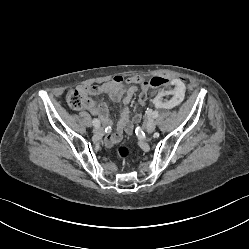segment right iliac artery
<instances>
[{"mask_svg": "<svg viewBox=\"0 0 249 249\" xmlns=\"http://www.w3.org/2000/svg\"><path fill=\"white\" fill-rule=\"evenodd\" d=\"M92 123H93V125H94L95 127H99V126H100V122H99L98 119H93Z\"/></svg>", "mask_w": 249, "mask_h": 249, "instance_id": "1", "label": "right iliac artery"}]
</instances>
